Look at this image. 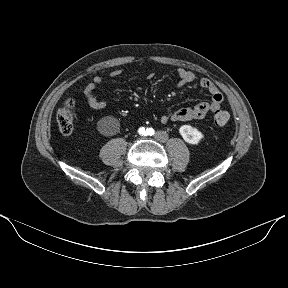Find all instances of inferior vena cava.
<instances>
[{"mask_svg": "<svg viewBox=\"0 0 288 288\" xmlns=\"http://www.w3.org/2000/svg\"><path fill=\"white\" fill-rule=\"evenodd\" d=\"M157 139H158V141L161 142V143H166V142H168L169 139H170V134H169V132L166 131V130H161V131H159L158 134H157Z\"/></svg>", "mask_w": 288, "mask_h": 288, "instance_id": "obj_1", "label": "inferior vena cava"}]
</instances>
